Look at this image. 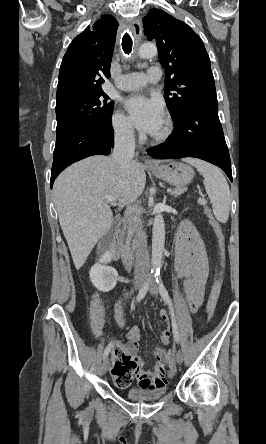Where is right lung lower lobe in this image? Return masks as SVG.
I'll list each match as a JSON object with an SVG mask.
<instances>
[{"instance_id": "1", "label": "right lung lower lobe", "mask_w": 266, "mask_h": 444, "mask_svg": "<svg viewBox=\"0 0 266 444\" xmlns=\"http://www.w3.org/2000/svg\"><path fill=\"white\" fill-rule=\"evenodd\" d=\"M114 145L112 123L78 130L56 143L51 170L52 188L56 177L69 165L92 155H108Z\"/></svg>"}]
</instances>
